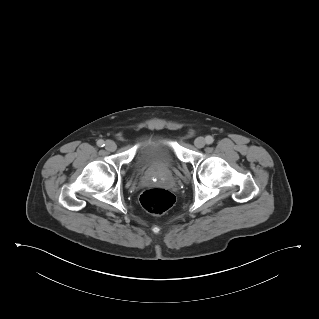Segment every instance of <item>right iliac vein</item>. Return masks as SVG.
Returning a JSON list of instances; mask_svg holds the SVG:
<instances>
[{
  "mask_svg": "<svg viewBox=\"0 0 319 319\" xmlns=\"http://www.w3.org/2000/svg\"><path fill=\"white\" fill-rule=\"evenodd\" d=\"M105 148L108 150V151H115L117 146H116V143L112 140H108L106 141L105 143Z\"/></svg>",
  "mask_w": 319,
  "mask_h": 319,
  "instance_id": "1",
  "label": "right iliac vein"
}]
</instances>
